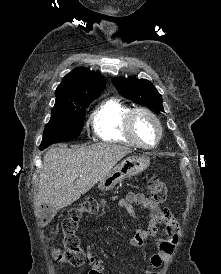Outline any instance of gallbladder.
<instances>
[{"mask_svg":"<svg viewBox=\"0 0 221 274\" xmlns=\"http://www.w3.org/2000/svg\"><path fill=\"white\" fill-rule=\"evenodd\" d=\"M55 213H56V210H53V211H52V214L49 215L50 218H52V217L55 215Z\"/></svg>","mask_w":221,"mask_h":274,"instance_id":"bac80fb5","label":"gallbladder"}]
</instances>
